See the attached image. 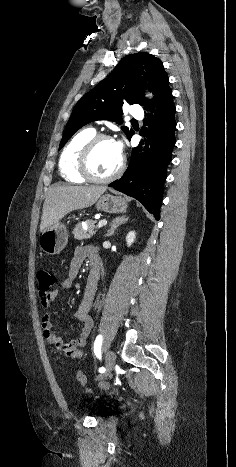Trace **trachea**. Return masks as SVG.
I'll use <instances>...</instances> for the list:
<instances>
[{
    "mask_svg": "<svg viewBox=\"0 0 236 467\" xmlns=\"http://www.w3.org/2000/svg\"><path fill=\"white\" fill-rule=\"evenodd\" d=\"M131 122H137L135 119H132Z\"/></svg>",
    "mask_w": 236,
    "mask_h": 467,
    "instance_id": "obj_1",
    "label": "trachea"
}]
</instances>
